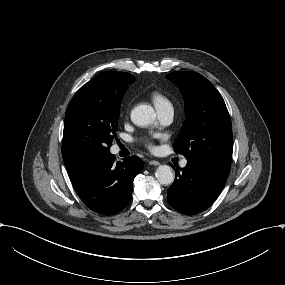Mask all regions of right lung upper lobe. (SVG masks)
<instances>
[{
	"mask_svg": "<svg viewBox=\"0 0 285 285\" xmlns=\"http://www.w3.org/2000/svg\"><path fill=\"white\" fill-rule=\"evenodd\" d=\"M133 80L134 77L129 73L105 71L82 86L78 92L86 97H98L110 92L127 89V84L132 83ZM99 159L102 158H63L70 179Z\"/></svg>",
	"mask_w": 285,
	"mask_h": 285,
	"instance_id": "1",
	"label": "right lung upper lobe"
}]
</instances>
